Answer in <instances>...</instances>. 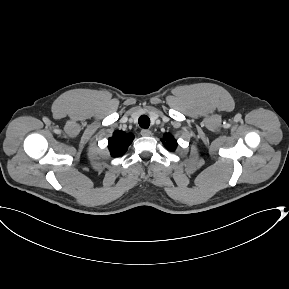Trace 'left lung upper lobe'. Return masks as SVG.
<instances>
[{
  "label": "left lung upper lobe",
  "mask_w": 289,
  "mask_h": 289,
  "mask_svg": "<svg viewBox=\"0 0 289 289\" xmlns=\"http://www.w3.org/2000/svg\"><path fill=\"white\" fill-rule=\"evenodd\" d=\"M163 139V143L168 150L174 151L176 149L177 142L171 134L166 133Z\"/></svg>",
  "instance_id": "obj_1"
}]
</instances>
